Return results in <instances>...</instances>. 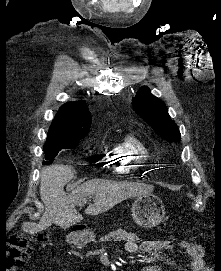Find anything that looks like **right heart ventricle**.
Wrapping results in <instances>:
<instances>
[{
    "instance_id": "right-heart-ventricle-1",
    "label": "right heart ventricle",
    "mask_w": 221,
    "mask_h": 271,
    "mask_svg": "<svg viewBox=\"0 0 221 271\" xmlns=\"http://www.w3.org/2000/svg\"><path fill=\"white\" fill-rule=\"evenodd\" d=\"M126 141L119 142V147H124V151H132L136 154H116V158H107V163L113 161V164H145V160L150 158L147 146L137 138L134 140L135 142H130L129 138ZM138 155L143 159L138 158ZM134 167L137 166H115V169L119 172V176H134L136 174Z\"/></svg>"
}]
</instances>
